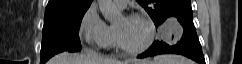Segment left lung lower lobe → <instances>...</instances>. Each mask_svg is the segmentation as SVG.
Segmentation results:
<instances>
[{
    "label": "left lung lower lobe",
    "instance_id": "0a47b994",
    "mask_svg": "<svg viewBox=\"0 0 242 64\" xmlns=\"http://www.w3.org/2000/svg\"><path fill=\"white\" fill-rule=\"evenodd\" d=\"M171 18H176L183 27V35L176 45H169L163 41H154L152 46L144 53L138 55V58L151 57L166 53H175L184 55L198 64H205L202 53V47L193 24L192 8H185L173 13Z\"/></svg>",
    "mask_w": 242,
    "mask_h": 64
}]
</instances>
